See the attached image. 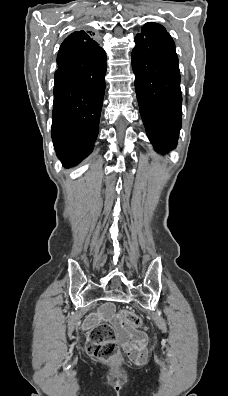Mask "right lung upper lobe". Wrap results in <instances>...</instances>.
Instances as JSON below:
<instances>
[{
  "label": "right lung upper lobe",
  "mask_w": 228,
  "mask_h": 396,
  "mask_svg": "<svg viewBox=\"0 0 228 396\" xmlns=\"http://www.w3.org/2000/svg\"><path fill=\"white\" fill-rule=\"evenodd\" d=\"M92 34L90 31H76L69 35L63 43H71L73 44V48L76 50H92L94 46H96L97 42L93 40Z\"/></svg>",
  "instance_id": "obj_1"
}]
</instances>
